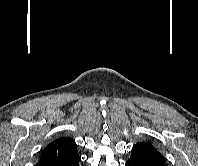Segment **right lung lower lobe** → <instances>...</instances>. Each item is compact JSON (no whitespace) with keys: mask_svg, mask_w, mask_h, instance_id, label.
Segmentation results:
<instances>
[{"mask_svg":"<svg viewBox=\"0 0 198 166\" xmlns=\"http://www.w3.org/2000/svg\"><path fill=\"white\" fill-rule=\"evenodd\" d=\"M80 161V156L56 163H38L37 166H78Z\"/></svg>","mask_w":198,"mask_h":166,"instance_id":"right-lung-lower-lobe-1","label":"right lung lower lobe"}]
</instances>
